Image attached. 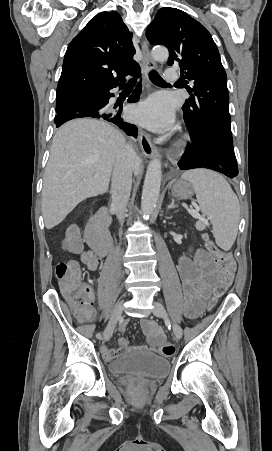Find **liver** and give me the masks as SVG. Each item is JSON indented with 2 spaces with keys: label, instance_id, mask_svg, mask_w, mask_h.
<instances>
[{
  "label": "liver",
  "instance_id": "6515ba94",
  "mask_svg": "<svg viewBox=\"0 0 272 451\" xmlns=\"http://www.w3.org/2000/svg\"><path fill=\"white\" fill-rule=\"evenodd\" d=\"M125 138L104 120H71L56 132L44 174L42 212L47 229L58 226L77 204L105 194ZM140 160L133 168L136 176Z\"/></svg>",
  "mask_w": 272,
  "mask_h": 451
}]
</instances>
